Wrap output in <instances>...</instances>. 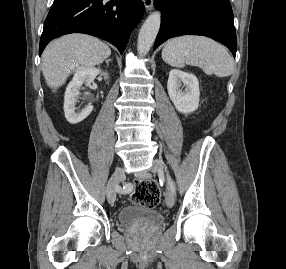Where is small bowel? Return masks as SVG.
Segmentation results:
<instances>
[{
  "instance_id": "small-bowel-1",
  "label": "small bowel",
  "mask_w": 286,
  "mask_h": 269,
  "mask_svg": "<svg viewBox=\"0 0 286 269\" xmlns=\"http://www.w3.org/2000/svg\"><path fill=\"white\" fill-rule=\"evenodd\" d=\"M125 189H126V192H129V191L131 190V187L128 186V187H126ZM126 192H125V193H126Z\"/></svg>"
}]
</instances>
